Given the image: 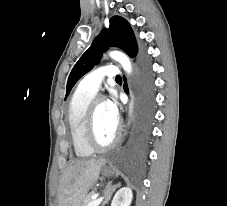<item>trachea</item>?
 <instances>
[{"label":"trachea","instance_id":"obj_1","mask_svg":"<svg viewBox=\"0 0 227 206\" xmlns=\"http://www.w3.org/2000/svg\"><path fill=\"white\" fill-rule=\"evenodd\" d=\"M116 80H122L121 76H117Z\"/></svg>","mask_w":227,"mask_h":206}]
</instances>
